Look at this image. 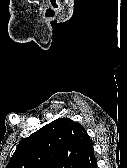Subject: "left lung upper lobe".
<instances>
[{
    "instance_id": "obj_1",
    "label": "left lung upper lobe",
    "mask_w": 127,
    "mask_h": 168,
    "mask_svg": "<svg viewBox=\"0 0 127 168\" xmlns=\"http://www.w3.org/2000/svg\"><path fill=\"white\" fill-rule=\"evenodd\" d=\"M88 139L82 125L56 119L22 140L6 168H76Z\"/></svg>"
}]
</instances>
